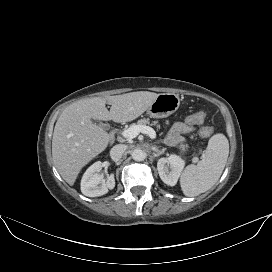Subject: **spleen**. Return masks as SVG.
Instances as JSON below:
<instances>
[{"label": "spleen", "instance_id": "spleen-1", "mask_svg": "<svg viewBox=\"0 0 272 272\" xmlns=\"http://www.w3.org/2000/svg\"><path fill=\"white\" fill-rule=\"evenodd\" d=\"M229 155V142L222 133L213 135L197 165H188L180 178L185 196H197L209 190L220 178Z\"/></svg>", "mask_w": 272, "mask_h": 272}]
</instances>
